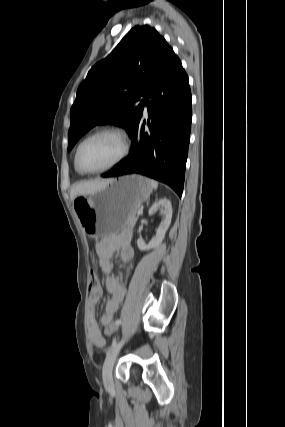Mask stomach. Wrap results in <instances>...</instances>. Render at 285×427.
<instances>
[{"instance_id": "stomach-1", "label": "stomach", "mask_w": 285, "mask_h": 427, "mask_svg": "<svg viewBox=\"0 0 285 427\" xmlns=\"http://www.w3.org/2000/svg\"><path fill=\"white\" fill-rule=\"evenodd\" d=\"M152 192L150 180L140 175L112 179L101 190L79 195L73 209L84 231L102 238L119 233L129 225L132 212L146 201Z\"/></svg>"}]
</instances>
